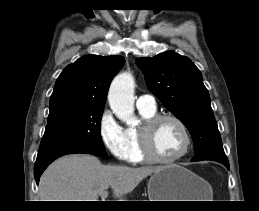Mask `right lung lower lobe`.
Here are the masks:
<instances>
[{
    "label": "right lung lower lobe",
    "instance_id": "obj_1",
    "mask_svg": "<svg viewBox=\"0 0 259 211\" xmlns=\"http://www.w3.org/2000/svg\"><path fill=\"white\" fill-rule=\"evenodd\" d=\"M73 153H89L100 157H106L107 154L105 150L99 149H89L80 146H62L58 148H54L51 150H47L41 153H38L35 166H34V176L37 184L39 183V179L43 171L46 167L52 163L55 159Z\"/></svg>",
    "mask_w": 259,
    "mask_h": 211
}]
</instances>
